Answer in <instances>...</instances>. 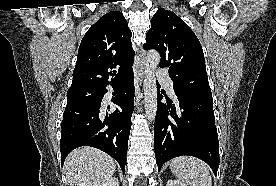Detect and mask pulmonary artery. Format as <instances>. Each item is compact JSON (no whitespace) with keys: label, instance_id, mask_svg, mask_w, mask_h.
<instances>
[{"label":"pulmonary artery","instance_id":"e3ab8cb5","mask_svg":"<svg viewBox=\"0 0 276 186\" xmlns=\"http://www.w3.org/2000/svg\"><path fill=\"white\" fill-rule=\"evenodd\" d=\"M157 77L160 79V81L165 85L168 92L174 96V89H173V81L168 76L167 72L162 69H158L156 72Z\"/></svg>","mask_w":276,"mask_h":186}]
</instances>
